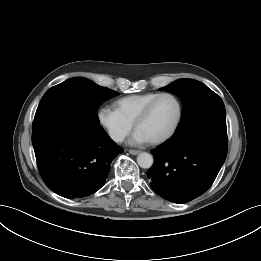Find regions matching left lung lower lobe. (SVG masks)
Masks as SVG:
<instances>
[{"mask_svg":"<svg viewBox=\"0 0 261 261\" xmlns=\"http://www.w3.org/2000/svg\"><path fill=\"white\" fill-rule=\"evenodd\" d=\"M226 120L174 134L151 152L154 164L147 177L151 188L174 203H186L206 192L227 155Z\"/></svg>","mask_w":261,"mask_h":261,"instance_id":"0a47b994","label":"left lung lower lobe"}]
</instances>
